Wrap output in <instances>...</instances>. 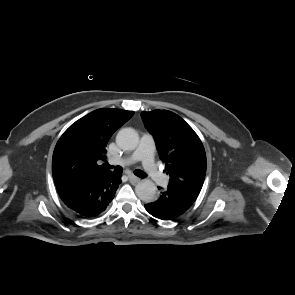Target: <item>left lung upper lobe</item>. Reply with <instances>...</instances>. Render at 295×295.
Wrapping results in <instances>:
<instances>
[{
  "label": "left lung upper lobe",
  "mask_w": 295,
  "mask_h": 295,
  "mask_svg": "<svg viewBox=\"0 0 295 295\" xmlns=\"http://www.w3.org/2000/svg\"><path fill=\"white\" fill-rule=\"evenodd\" d=\"M142 120L154 136L165 170L168 187L199 195L206 174V154L194 130L168 110L142 112Z\"/></svg>",
  "instance_id": "obj_1"
}]
</instances>
